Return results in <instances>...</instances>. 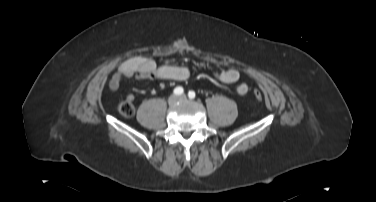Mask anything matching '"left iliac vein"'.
Returning <instances> with one entry per match:
<instances>
[{
	"instance_id": "1",
	"label": "left iliac vein",
	"mask_w": 376,
	"mask_h": 202,
	"mask_svg": "<svg viewBox=\"0 0 376 202\" xmlns=\"http://www.w3.org/2000/svg\"><path fill=\"white\" fill-rule=\"evenodd\" d=\"M179 100H185L186 99V96L185 95H181L178 97Z\"/></svg>"
}]
</instances>
